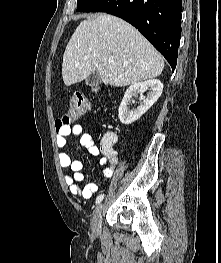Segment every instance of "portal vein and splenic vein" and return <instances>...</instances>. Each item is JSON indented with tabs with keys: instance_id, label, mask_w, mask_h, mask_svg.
Here are the masks:
<instances>
[{
	"instance_id": "1",
	"label": "portal vein and splenic vein",
	"mask_w": 221,
	"mask_h": 263,
	"mask_svg": "<svg viewBox=\"0 0 221 263\" xmlns=\"http://www.w3.org/2000/svg\"><path fill=\"white\" fill-rule=\"evenodd\" d=\"M109 63H110V64H113V63H114V60H113V59H109Z\"/></svg>"
}]
</instances>
